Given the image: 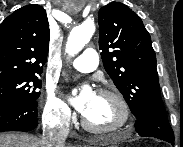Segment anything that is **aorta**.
<instances>
[{
	"label": "aorta",
	"instance_id": "obj_1",
	"mask_svg": "<svg viewBox=\"0 0 183 147\" xmlns=\"http://www.w3.org/2000/svg\"><path fill=\"white\" fill-rule=\"evenodd\" d=\"M95 24L93 21H85L84 23L76 26L70 32L67 43L66 52L70 56L78 54L82 48L90 41L92 35L95 32ZM76 90H73V95L76 94Z\"/></svg>",
	"mask_w": 183,
	"mask_h": 147
}]
</instances>
